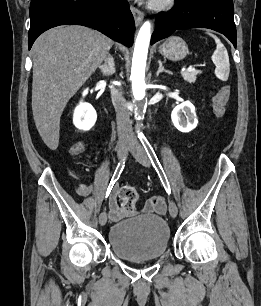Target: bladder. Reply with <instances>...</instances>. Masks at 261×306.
Instances as JSON below:
<instances>
[{
	"instance_id": "31cf9c89",
	"label": "bladder",
	"mask_w": 261,
	"mask_h": 306,
	"mask_svg": "<svg viewBox=\"0 0 261 306\" xmlns=\"http://www.w3.org/2000/svg\"><path fill=\"white\" fill-rule=\"evenodd\" d=\"M108 241L113 253L123 260L155 259L168 250L170 228L158 215L141 214L115 223Z\"/></svg>"
}]
</instances>
